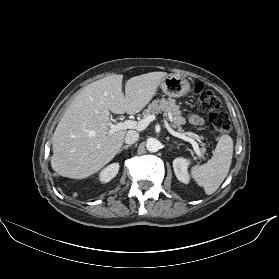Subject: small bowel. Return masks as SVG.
I'll return each instance as SVG.
<instances>
[{
	"instance_id": "c3829d8e",
	"label": "small bowel",
	"mask_w": 279,
	"mask_h": 279,
	"mask_svg": "<svg viewBox=\"0 0 279 279\" xmlns=\"http://www.w3.org/2000/svg\"><path fill=\"white\" fill-rule=\"evenodd\" d=\"M190 121H191V123H193L195 125H202L204 122L203 119L197 114H192L190 116Z\"/></svg>"
}]
</instances>
